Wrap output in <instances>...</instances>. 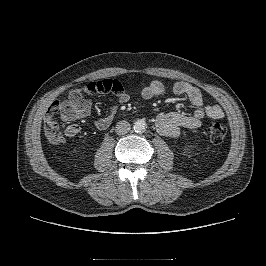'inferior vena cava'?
Here are the masks:
<instances>
[{"label": "inferior vena cava", "mask_w": 266, "mask_h": 266, "mask_svg": "<svg viewBox=\"0 0 266 266\" xmlns=\"http://www.w3.org/2000/svg\"><path fill=\"white\" fill-rule=\"evenodd\" d=\"M130 129H131V126H130L129 122L123 120V121H119L116 124L115 132L118 135H124V134L128 133L130 131Z\"/></svg>", "instance_id": "1"}]
</instances>
